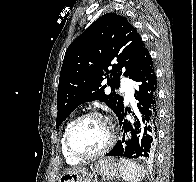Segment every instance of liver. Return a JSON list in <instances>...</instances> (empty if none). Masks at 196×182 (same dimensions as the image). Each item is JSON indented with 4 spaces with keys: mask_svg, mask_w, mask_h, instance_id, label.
Segmentation results:
<instances>
[{
    "mask_svg": "<svg viewBox=\"0 0 196 182\" xmlns=\"http://www.w3.org/2000/svg\"><path fill=\"white\" fill-rule=\"evenodd\" d=\"M78 170H81V168H76V169H74V171H78Z\"/></svg>",
    "mask_w": 196,
    "mask_h": 182,
    "instance_id": "obj_1",
    "label": "liver"
}]
</instances>
